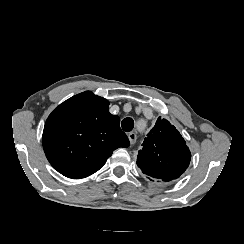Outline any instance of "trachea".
<instances>
[{
    "mask_svg": "<svg viewBox=\"0 0 244 244\" xmlns=\"http://www.w3.org/2000/svg\"><path fill=\"white\" fill-rule=\"evenodd\" d=\"M121 126L124 131L129 132L134 127V121L132 118L127 117L122 121Z\"/></svg>",
    "mask_w": 244,
    "mask_h": 244,
    "instance_id": "3493384b",
    "label": "trachea"
}]
</instances>
